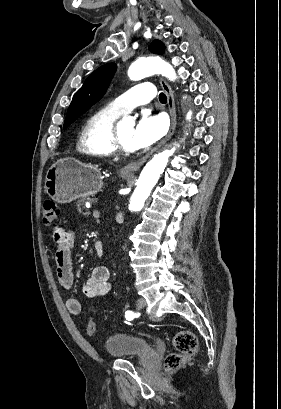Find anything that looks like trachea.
Here are the masks:
<instances>
[{
	"instance_id": "3493384b",
	"label": "trachea",
	"mask_w": 281,
	"mask_h": 409,
	"mask_svg": "<svg viewBox=\"0 0 281 409\" xmlns=\"http://www.w3.org/2000/svg\"><path fill=\"white\" fill-rule=\"evenodd\" d=\"M159 101L161 103H166L167 102V96L164 93L159 94Z\"/></svg>"
}]
</instances>
